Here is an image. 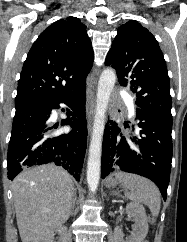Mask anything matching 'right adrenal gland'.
I'll return each instance as SVG.
<instances>
[{
	"instance_id": "2a0ac1e0",
	"label": "right adrenal gland",
	"mask_w": 187,
	"mask_h": 242,
	"mask_svg": "<svg viewBox=\"0 0 187 242\" xmlns=\"http://www.w3.org/2000/svg\"><path fill=\"white\" fill-rule=\"evenodd\" d=\"M75 203H76V191H75V193H74V195H73L72 208H71V213H70V215H73V213H74V206H75Z\"/></svg>"
}]
</instances>
